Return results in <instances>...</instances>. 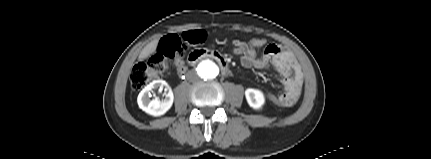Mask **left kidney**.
<instances>
[{
    "label": "left kidney",
    "instance_id": "5707ae66",
    "mask_svg": "<svg viewBox=\"0 0 431 159\" xmlns=\"http://www.w3.org/2000/svg\"><path fill=\"white\" fill-rule=\"evenodd\" d=\"M245 97L250 107L255 110L262 109L265 103V97L262 91L248 88L245 90Z\"/></svg>",
    "mask_w": 431,
    "mask_h": 159
}]
</instances>
